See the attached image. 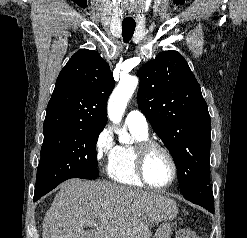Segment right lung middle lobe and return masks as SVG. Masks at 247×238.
<instances>
[{"label":"right lung middle lobe","instance_id":"right-lung-middle-lobe-1","mask_svg":"<svg viewBox=\"0 0 247 238\" xmlns=\"http://www.w3.org/2000/svg\"><path fill=\"white\" fill-rule=\"evenodd\" d=\"M103 128L76 126L44 133L34 198H41L69 178L99 176L96 143Z\"/></svg>","mask_w":247,"mask_h":238}]
</instances>
